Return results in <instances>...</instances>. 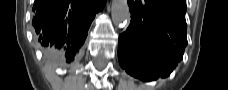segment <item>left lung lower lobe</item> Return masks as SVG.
<instances>
[{"label": "left lung lower lobe", "instance_id": "obj_1", "mask_svg": "<svg viewBox=\"0 0 228 90\" xmlns=\"http://www.w3.org/2000/svg\"><path fill=\"white\" fill-rule=\"evenodd\" d=\"M131 23L119 36L118 59L142 81L167 77L187 45L186 0H128Z\"/></svg>", "mask_w": 228, "mask_h": 90}]
</instances>
